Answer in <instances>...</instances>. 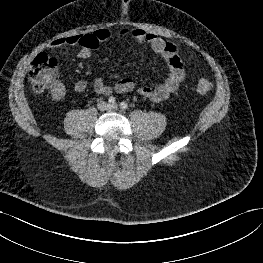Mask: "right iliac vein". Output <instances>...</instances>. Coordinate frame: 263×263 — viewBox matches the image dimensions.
<instances>
[{
	"instance_id": "obj_1",
	"label": "right iliac vein",
	"mask_w": 263,
	"mask_h": 263,
	"mask_svg": "<svg viewBox=\"0 0 263 263\" xmlns=\"http://www.w3.org/2000/svg\"><path fill=\"white\" fill-rule=\"evenodd\" d=\"M109 106L106 102H100L98 104V108L101 110V111H105V110H108L109 109Z\"/></svg>"
}]
</instances>
